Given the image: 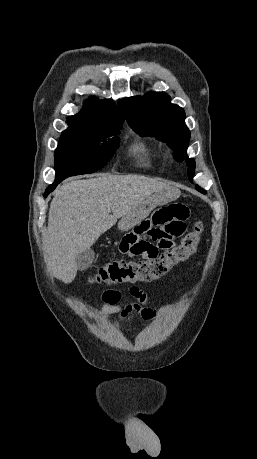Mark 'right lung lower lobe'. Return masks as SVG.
<instances>
[{
    "label": "right lung lower lobe",
    "instance_id": "1",
    "mask_svg": "<svg viewBox=\"0 0 257 459\" xmlns=\"http://www.w3.org/2000/svg\"><path fill=\"white\" fill-rule=\"evenodd\" d=\"M64 178H56L55 182L50 185L47 189H46V192H45V195L44 197H47V195L53 191L55 189V187L57 186L58 183H60Z\"/></svg>",
    "mask_w": 257,
    "mask_h": 459
}]
</instances>
